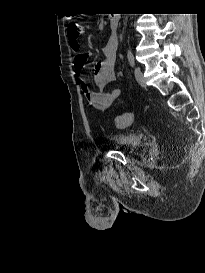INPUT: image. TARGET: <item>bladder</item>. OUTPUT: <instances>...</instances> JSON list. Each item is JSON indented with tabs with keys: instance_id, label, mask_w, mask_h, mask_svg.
I'll use <instances>...</instances> for the list:
<instances>
[{
	"instance_id": "bladder-1",
	"label": "bladder",
	"mask_w": 205,
	"mask_h": 273,
	"mask_svg": "<svg viewBox=\"0 0 205 273\" xmlns=\"http://www.w3.org/2000/svg\"><path fill=\"white\" fill-rule=\"evenodd\" d=\"M110 141L129 151L139 150L143 144L140 136L129 133H117L110 137Z\"/></svg>"
}]
</instances>
